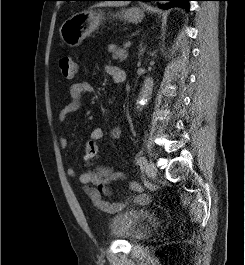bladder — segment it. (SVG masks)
<instances>
[{"label": "bladder", "mask_w": 245, "mask_h": 265, "mask_svg": "<svg viewBox=\"0 0 245 265\" xmlns=\"http://www.w3.org/2000/svg\"><path fill=\"white\" fill-rule=\"evenodd\" d=\"M156 221L155 215L146 208L131 209L112 217L110 234L124 241H140L154 232Z\"/></svg>", "instance_id": "bladder-1"}]
</instances>
